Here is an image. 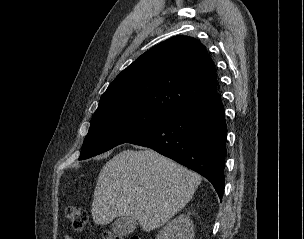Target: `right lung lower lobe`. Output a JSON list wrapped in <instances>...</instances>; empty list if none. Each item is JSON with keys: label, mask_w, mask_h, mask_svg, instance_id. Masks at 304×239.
Segmentation results:
<instances>
[{"label": "right lung lower lobe", "mask_w": 304, "mask_h": 239, "mask_svg": "<svg viewBox=\"0 0 304 239\" xmlns=\"http://www.w3.org/2000/svg\"><path fill=\"white\" fill-rule=\"evenodd\" d=\"M226 137L224 107L216 92L128 143L149 147L198 172L222 199Z\"/></svg>", "instance_id": "obj_1"}]
</instances>
